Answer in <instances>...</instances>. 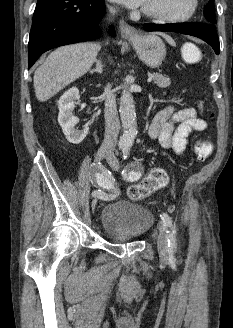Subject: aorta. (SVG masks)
Segmentation results:
<instances>
[{"label": "aorta", "mask_w": 233, "mask_h": 328, "mask_svg": "<svg viewBox=\"0 0 233 328\" xmlns=\"http://www.w3.org/2000/svg\"><path fill=\"white\" fill-rule=\"evenodd\" d=\"M120 117L124 133L119 146L128 150L132 147L137 134V121L133 96L124 87L120 98Z\"/></svg>", "instance_id": "1"}]
</instances>
